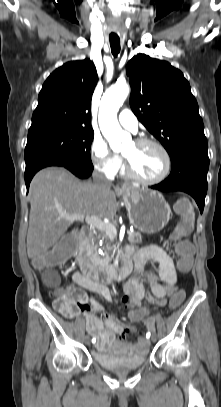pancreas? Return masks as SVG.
Wrapping results in <instances>:
<instances>
[{"label":"pancreas","instance_id":"cf45deb5","mask_svg":"<svg viewBox=\"0 0 221 407\" xmlns=\"http://www.w3.org/2000/svg\"><path fill=\"white\" fill-rule=\"evenodd\" d=\"M106 233L104 231H90L89 237L86 240V250L92 258V262L95 266L102 267L105 259L98 253V247L95 244L96 240L105 237ZM128 241L131 245L140 244L142 242V235L140 232H129Z\"/></svg>","mask_w":221,"mask_h":407}]
</instances>
